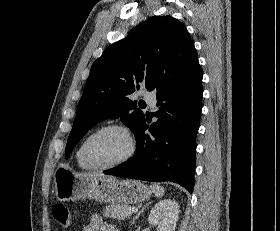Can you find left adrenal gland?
Returning a JSON list of instances; mask_svg holds the SVG:
<instances>
[{
  "label": "left adrenal gland",
  "mask_w": 280,
  "mask_h": 231,
  "mask_svg": "<svg viewBox=\"0 0 280 231\" xmlns=\"http://www.w3.org/2000/svg\"><path fill=\"white\" fill-rule=\"evenodd\" d=\"M149 203H152V201H149ZM149 203H145L144 207H142V209H140V211H138V213H136L135 217H133L132 221H130V223H135L137 217H139L140 213H142V211H144V209H146L147 205H149Z\"/></svg>",
  "instance_id": "obj_1"
}]
</instances>
